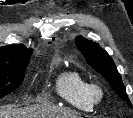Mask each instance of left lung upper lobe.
<instances>
[{
	"instance_id": "5c2ea615",
	"label": "left lung upper lobe",
	"mask_w": 133,
	"mask_h": 118,
	"mask_svg": "<svg viewBox=\"0 0 133 118\" xmlns=\"http://www.w3.org/2000/svg\"><path fill=\"white\" fill-rule=\"evenodd\" d=\"M76 45L87 63L110 83V86L122 99L126 100L129 106H132L127 97L121 76L108 53L92 40H87L82 36L76 37Z\"/></svg>"
}]
</instances>
